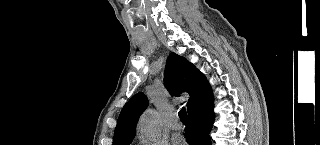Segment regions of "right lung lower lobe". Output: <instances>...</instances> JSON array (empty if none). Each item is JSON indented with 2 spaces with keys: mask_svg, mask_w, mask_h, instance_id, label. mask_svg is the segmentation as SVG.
<instances>
[{
  "mask_svg": "<svg viewBox=\"0 0 320 145\" xmlns=\"http://www.w3.org/2000/svg\"><path fill=\"white\" fill-rule=\"evenodd\" d=\"M213 96L209 86L202 101L188 112L190 124L185 128L186 141L190 145H211L209 137L214 122Z\"/></svg>",
  "mask_w": 320,
  "mask_h": 145,
  "instance_id": "98d812e1",
  "label": "right lung lower lobe"
}]
</instances>
